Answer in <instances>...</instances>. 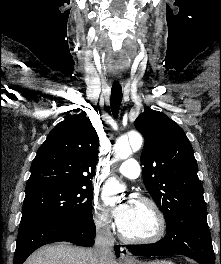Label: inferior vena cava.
Wrapping results in <instances>:
<instances>
[{
    "instance_id": "inferior-vena-cava-1",
    "label": "inferior vena cava",
    "mask_w": 221,
    "mask_h": 264,
    "mask_svg": "<svg viewBox=\"0 0 221 264\" xmlns=\"http://www.w3.org/2000/svg\"><path fill=\"white\" fill-rule=\"evenodd\" d=\"M96 227L94 255L99 264H107L108 260L114 257L113 247L115 239L105 222L98 221Z\"/></svg>"
}]
</instances>
